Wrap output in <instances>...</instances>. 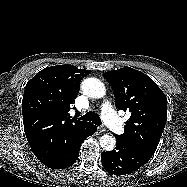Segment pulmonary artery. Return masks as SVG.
<instances>
[{
  "label": "pulmonary artery",
  "instance_id": "obj_1",
  "mask_svg": "<svg viewBox=\"0 0 187 187\" xmlns=\"http://www.w3.org/2000/svg\"><path fill=\"white\" fill-rule=\"evenodd\" d=\"M102 116L108 126L112 129L116 134H122L124 132V126L121 118L117 115L114 110L111 102L109 100H105L102 103Z\"/></svg>",
  "mask_w": 187,
  "mask_h": 187
}]
</instances>
